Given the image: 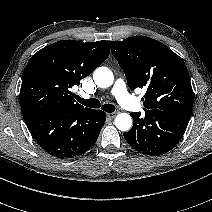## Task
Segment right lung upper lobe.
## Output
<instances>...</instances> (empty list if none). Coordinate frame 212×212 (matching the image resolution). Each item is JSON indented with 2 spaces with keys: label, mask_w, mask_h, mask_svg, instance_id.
Instances as JSON below:
<instances>
[{
  "label": "right lung upper lobe",
  "mask_w": 212,
  "mask_h": 212,
  "mask_svg": "<svg viewBox=\"0 0 212 212\" xmlns=\"http://www.w3.org/2000/svg\"><path fill=\"white\" fill-rule=\"evenodd\" d=\"M110 53L107 41L61 40L35 53L23 73L20 104L24 120L37 115L86 110L70 88L101 65Z\"/></svg>",
  "instance_id": "obj_1"
}]
</instances>
